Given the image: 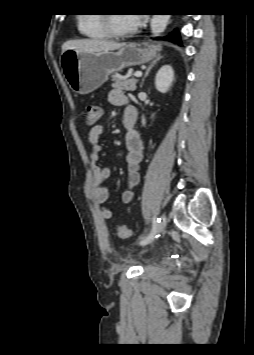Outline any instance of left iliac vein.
<instances>
[{
	"instance_id": "4c4485c4",
	"label": "left iliac vein",
	"mask_w": 254,
	"mask_h": 355,
	"mask_svg": "<svg viewBox=\"0 0 254 355\" xmlns=\"http://www.w3.org/2000/svg\"><path fill=\"white\" fill-rule=\"evenodd\" d=\"M167 224V216L165 214L161 217V222L157 225V233H161Z\"/></svg>"
}]
</instances>
